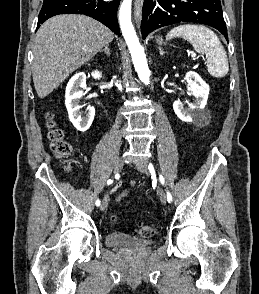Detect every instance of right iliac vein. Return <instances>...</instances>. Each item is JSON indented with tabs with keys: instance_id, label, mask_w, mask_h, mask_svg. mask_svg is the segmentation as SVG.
I'll list each match as a JSON object with an SVG mask.
<instances>
[{
	"instance_id": "right-iliac-vein-1",
	"label": "right iliac vein",
	"mask_w": 259,
	"mask_h": 294,
	"mask_svg": "<svg viewBox=\"0 0 259 294\" xmlns=\"http://www.w3.org/2000/svg\"><path fill=\"white\" fill-rule=\"evenodd\" d=\"M123 166H124V160L122 158H119L115 162L114 172L115 173H119L122 170ZM108 202H109V197L108 196H105L103 198V201H102V204H101V207H100L101 211H105L107 209Z\"/></svg>"
}]
</instances>
